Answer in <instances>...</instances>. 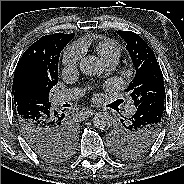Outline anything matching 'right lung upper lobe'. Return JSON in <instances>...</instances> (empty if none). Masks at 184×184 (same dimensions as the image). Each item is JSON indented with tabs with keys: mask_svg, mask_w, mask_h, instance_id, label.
Here are the masks:
<instances>
[{
	"mask_svg": "<svg viewBox=\"0 0 184 184\" xmlns=\"http://www.w3.org/2000/svg\"><path fill=\"white\" fill-rule=\"evenodd\" d=\"M73 37L74 33H55L34 42L23 53L15 69L13 95L28 84L50 89L57 84L58 56Z\"/></svg>",
	"mask_w": 184,
	"mask_h": 184,
	"instance_id": "1",
	"label": "right lung upper lobe"
}]
</instances>
